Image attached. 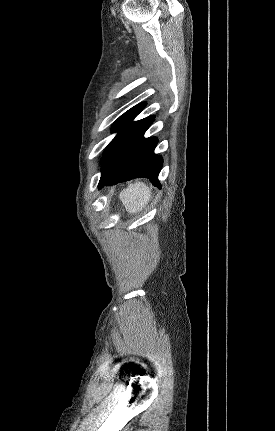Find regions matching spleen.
<instances>
[{"instance_id": "spleen-1", "label": "spleen", "mask_w": 275, "mask_h": 431, "mask_svg": "<svg viewBox=\"0 0 275 431\" xmlns=\"http://www.w3.org/2000/svg\"><path fill=\"white\" fill-rule=\"evenodd\" d=\"M151 198L150 188L142 182L131 184L120 193V200L129 214L141 211Z\"/></svg>"}]
</instances>
